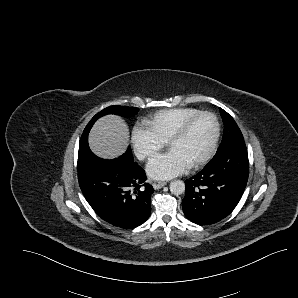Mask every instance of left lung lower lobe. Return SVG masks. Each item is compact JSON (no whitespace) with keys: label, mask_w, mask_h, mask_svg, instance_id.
I'll list each match as a JSON object with an SVG mask.
<instances>
[{"label":"left lung lower lobe","mask_w":298,"mask_h":298,"mask_svg":"<svg viewBox=\"0 0 298 298\" xmlns=\"http://www.w3.org/2000/svg\"><path fill=\"white\" fill-rule=\"evenodd\" d=\"M249 161L245 143L216 155L190 180L182 200L185 216L199 225L214 224L238 204L247 184Z\"/></svg>","instance_id":"left-lung-lower-lobe-1"}]
</instances>
